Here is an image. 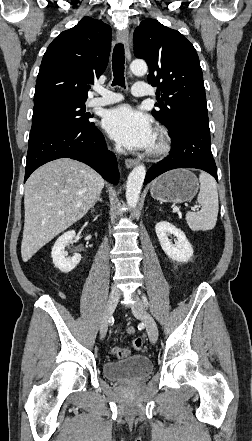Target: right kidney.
I'll return each instance as SVG.
<instances>
[{
  "instance_id": "1",
  "label": "right kidney",
  "mask_w": 252,
  "mask_h": 441,
  "mask_svg": "<svg viewBox=\"0 0 252 441\" xmlns=\"http://www.w3.org/2000/svg\"><path fill=\"white\" fill-rule=\"evenodd\" d=\"M75 235L76 233L74 230L65 232L56 240L52 248L51 257L53 259V264L63 273L72 271L81 260L80 254H75L71 258L66 257L67 253L65 252V247L73 240Z\"/></svg>"
}]
</instances>
